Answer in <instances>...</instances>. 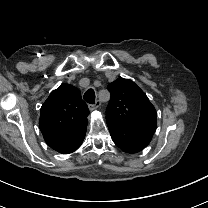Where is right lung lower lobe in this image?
Instances as JSON below:
<instances>
[{"label":"right lung lower lobe","mask_w":208,"mask_h":208,"mask_svg":"<svg viewBox=\"0 0 208 208\" xmlns=\"http://www.w3.org/2000/svg\"><path fill=\"white\" fill-rule=\"evenodd\" d=\"M85 134L86 129L68 140L50 145V147L62 154L71 153L80 147L85 138Z\"/></svg>","instance_id":"right-lung-lower-lobe-1"}]
</instances>
